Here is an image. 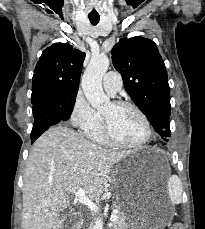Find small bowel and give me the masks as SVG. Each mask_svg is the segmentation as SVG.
<instances>
[{
	"instance_id": "1",
	"label": "small bowel",
	"mask_w": 205,
	"mask_h": 229,
	"mask_svg": "<svg viewBox=\"0 0 205 229\" xmlns=\"http://www.w3.org/2000/svg\"><path fill=\"white\" fill-rule=\"evenodd\" d=\"M171 229H181L179 226L175 225Z\"/></svg>"
}]
</instances>
